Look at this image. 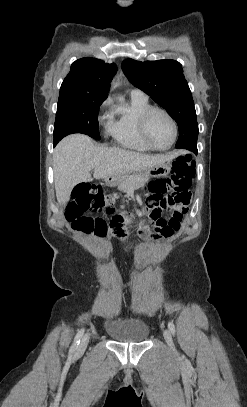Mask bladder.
<instances>
[{
    "instance_id": "bladder-1",
    "label": "bladder",
    "mask_w": 247,
    "mask_h": 407,
    "mask_svg": "<svg viewBox=\"0 0 247 407\" xmlns=\"http://www.w3.org/2000/svg\"><path fill=\"white\" fill-rule=\"evenodd\" d=\"M104 330L117 342L142 343L149 337V326L140 319H107Z\"/></svg>"
}]
</instances>
